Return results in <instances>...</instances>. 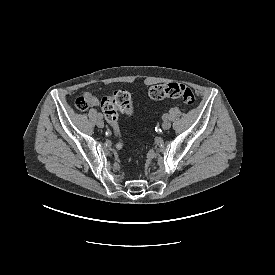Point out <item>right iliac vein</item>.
<instances>
[{
    "instance_id": "1",
    "label": "right iliac vein",
    "mask_w": 275,
    "mask_h": 275,
    "mask_svg": "<svg viewBox=\"0 0 275 275\" xmlns=\"http://www.w3.org/2000/svg\"><path fill=\"white\" fill-rule=\"evenodd\" d=\"M97 126L99 128H103L104 127V121L101 118H98V120H97Z\"/></svg>"
}]
</instances>
